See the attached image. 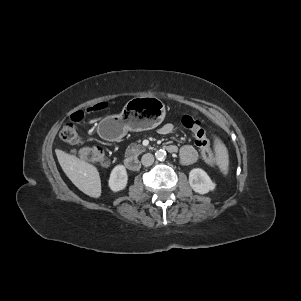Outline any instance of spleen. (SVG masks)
Instances as JSON below:
<instances>
[{
	"instance_id": "obj_1",
	"label": "spleen",
	"mask_w": 301,
	"mask_h": 301,
	"mask_svg": "<svg viewBox=\"0 0 301 301\" xmlns=\"http://www.w3.org/2000/svg\"><path fill=\"white\" fill-rule=\"evenodd\" d=\"M216 155H217V161L220 165V169L223 172V174L228 173V165H229V158H228V151L226 146L221 142H216Z\"/></svg>"
}]
</instances>
